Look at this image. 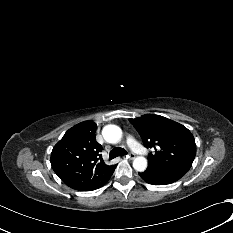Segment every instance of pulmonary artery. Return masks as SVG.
I'll return each mask as SVG.
<instances>
[{"label": "pulmonary artery", "instance_id": "obj_1", "mask_svg": "<svg viewBox=\"0 0 233 233\" xmlns=\"http://www.w3.org/2000/svg\"><path fill=\"white\" fill-rule=\"evenodd\" d=\"M126 141L132 150H134L138 154H143L142 147L133 138L127 137Z\"/></svg>", "mask_w": 233, "mask_h": 233}]
</instances>
